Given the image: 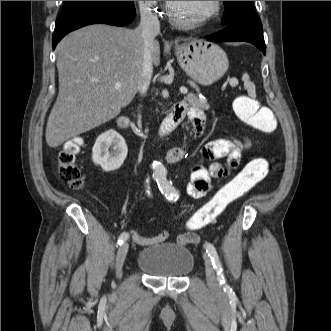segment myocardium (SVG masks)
<instances>
[{
  "mask_svg": "<svg viewBox=\"0 0 331 331\" xmlns=\"http://www.w3.org/2000/svg\"><path fill=\"white\" fill-rule=\"evenodd\" d=\"M221 11V1H213L212 2V8L209 12L203 14L202 16L191 20V21H182L175 17L172 11L171 3L167 2L166 4V14L169 18V20L178 27H198L201 26L212 19H214L216 16L219 15Z\"/></svg>",
  "mask_w": 331,
  "mask_h": 331,
  "instance_id": "f54148a6",
  "label": "myocardium"
}]
</instances>
